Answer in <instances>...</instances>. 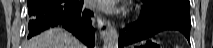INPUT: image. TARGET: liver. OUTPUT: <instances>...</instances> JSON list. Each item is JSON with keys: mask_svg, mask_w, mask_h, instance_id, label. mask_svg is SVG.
Returning a JSON list of instances; mask_svg holds the SVG:
<instances>
[{"mask_svg": "<svg viewBox=\"0 0 213 48\" xmlns=\"http://www.w3.org/2000/svg\"><path fill=\"white\" fill-rule=\"evenodd\" d=\"M25 48H85L84 45L61 28H50L40 35L33 37Z\"/></svg>", "mask_w": 213, "mask_h": 48, "instance_id": "1", "label": "liver"}]
</instances>
